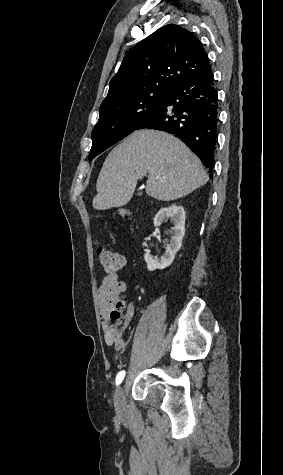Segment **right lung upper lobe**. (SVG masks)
<instances>
[{"instance_id":"right-lung-upper-lobe-1","label":"right lung upper lobe","mask_w":283,"mask_h":475,"mask_svg":"<svg viewBox=\"0 0 283 475\" xmlns=\"http://www.w3.org/2000/svg\"><path fill=\"white\" fill-rule=\"evenodd\" d=\"M211 72L201 42L188 30L169 24L140 41L124 57L101 106L135 96L169 92L177 84Z\"/></svg>"}]
</instances>
